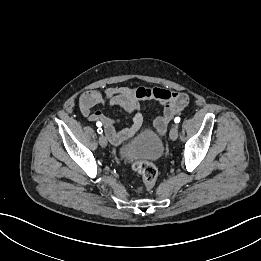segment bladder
Returning <instances> with one entry per match:
<instances>
[{"instance_id":"1","label":"bladder","mask_w":261,"mask_h":261,"mask_svg":"<svg viewBox=\"0 0 261 261\" xmlns=\"http://www.w3.org/2000/svg\"><path fill=\"white\" fill-rule=\"evenodd\" d=\"M162 139L151 131H143L130 143L123 145L119 156L126 162L155 161L163 153Z\"/></svg>"}]
</instances>
